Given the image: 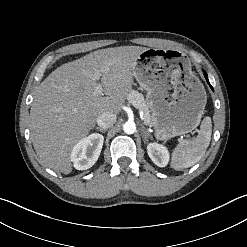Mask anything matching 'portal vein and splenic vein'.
I'll use <instances>...</instances> for the list:
<instances>
[{
    "mask_svg": "<svg viewBox=\"0 0 247 247\" xmlns=\"http://www.w3.org/2000/svg\"><path fill=\"white\" fill-rule=\"evenodd\" d=\"M100 76H101V73H100V71L97 70L94 74V79L99 80ZM95 94L96 95H102L103 94V87L100 83H98L97 86L95 87ZM142 116L143 115L141 114V118L143 119Z\"/></svg>",
    "mask_w": 247,
    "mask_h": 247,
    "instance_id": "18ae733b",
    "label": "portal vein and splenic vein"
}]
</instances>
